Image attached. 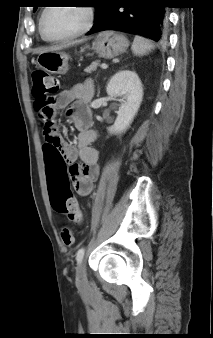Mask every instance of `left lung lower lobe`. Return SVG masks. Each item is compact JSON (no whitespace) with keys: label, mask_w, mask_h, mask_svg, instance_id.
<instances>
[{"label":"left lung lower lobe","mask_w":213,"mask_h":338,"mask_svg":"<svg viewBox=\"0 0 213 338\" xmlns=\"http://www.w3.org/2000/svg\"><path fill=\"white\" fill-rule=\"evenodd\" d=\"M88 35L116 30L138 34L159 43L167 40V11L163 0H102Z\"/></svg>","instance_id":"obj_1"}]
</instances>
